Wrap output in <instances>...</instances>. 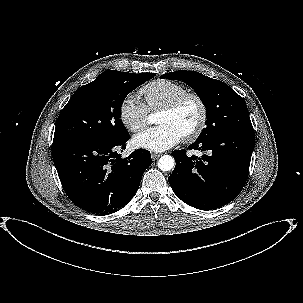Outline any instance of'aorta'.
Instances as JSON below:
<instances>
[{"label":"aorta","mask_w":303,"mask_h":303,"mask_svg":"<svg viewBox=\"0 0 303 303\" xmlns=\"http://www.w3.org/2000/svg\"><path fill=\"white\" fill-rule=\"evenodd\" d=\"M175 164V160L170 155H163L158 162V167L162 171H170Z\"/></svg>","instance_id":"aorta-1"}]
</instances>
